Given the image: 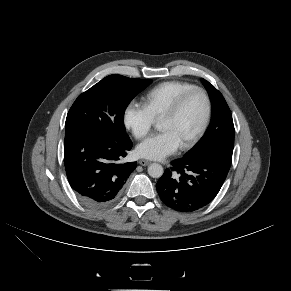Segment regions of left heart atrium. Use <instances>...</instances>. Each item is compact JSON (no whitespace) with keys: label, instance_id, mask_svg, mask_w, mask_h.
Returning a JSON list of instances; mask_svg holds the SVG:
<instances>
[{"label":"left heart atrium","instance_id":"39dd6f15","mask_svg":"<svg viewBox=\"0 0 291 291\" xmlns=\"http://www.w3.org/2000/svg\"><path fill=\"white\" fill-rule=\"evenodd\" d=\"M180 147L175 134L169 130L162 131L144 140L137 147V154L145 159L160 160L173 154Z\"/></svg>","mask_w":291,"mask_h":291}]
</instances>
